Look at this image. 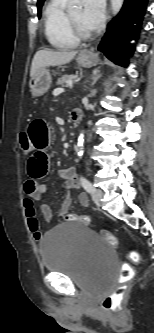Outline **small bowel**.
Instances as JSON below:
<instances>
[{
  "instance_id": "1",
  "label": "small bowel",
  "mask_w": 154,
  "mask_h": 333,
  "mask_svg": "<svg viewBox=\"0 0 154 333\" xmlns=\"http://www.w3.org/2000/svg\"><path fill=\"white\" fill-rule=\"evenodd\" d=\"M27 134L32 146V153L29 156L27 163L29 179L24 183V192L28 196L24 202V207L29 229L33 238L39 241L42 239V233L40 232L39 223L36 218L34 201H41L46 192V185L43 184L41 180L49 171L48 149L51 144V131L44 120L36 119L31 122ZM57 175L64 180V187L67 190L73 191L79 187V183L72 167L58 169ZM78 200L84 207L89 204V200L84 193L79 194ZM71 202V196L68 195L61 205L59 211L60 217L68 215ZM40 213L45 221L49 222L52 220L53 214L48 204H40Z\"/></svg>"
}]
</instances>
